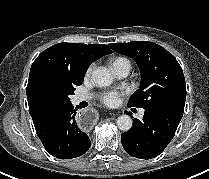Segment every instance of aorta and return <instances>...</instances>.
<instances>
[{
	"label": "aorta",
	"mask_w": 209,
	"mask_h": 179,
	"mask_svg": "<svg viewBox=\"0 0 209 179\" xmlns=\"http://www.w3.org/2000/svg\"><path fill=\"white\" fill-rule=\"evenodd\" d=\"M92 81L95 85L104 87L113 82V77L107 68H97L92 72ZM132 119L129 115H121L117 119V126L122 131H129L132 128Z\"/></svg>",
	"instance_id": "aorta-1"
}]
</instances>
